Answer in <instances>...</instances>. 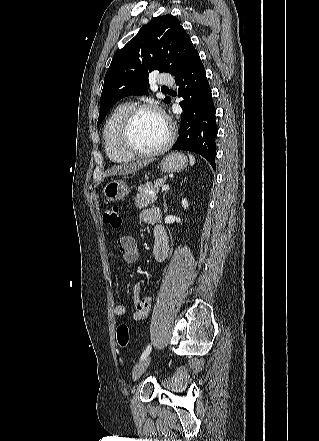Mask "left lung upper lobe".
Here are the masks:
<instances>
[{
    "mask_svg": "<svg viewBox=\"0 0 319 441\" xmlns=\"http://www.w3.org/2000/svg\"><path fill=\"white\" fill-rule=\"evenodd\" d=\"M197 53L178 19L170 14L154 18L115 53L104 78L97 125L123 97L145 94L152 71L176 77Z\"/></svg>",
    "mask_w": 319,
    "mask_h": 441,
    "instance_id": "obj_1",
    "label": "left lung upper lobe"
}]
</instances>
